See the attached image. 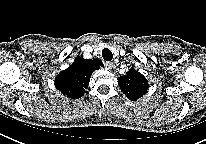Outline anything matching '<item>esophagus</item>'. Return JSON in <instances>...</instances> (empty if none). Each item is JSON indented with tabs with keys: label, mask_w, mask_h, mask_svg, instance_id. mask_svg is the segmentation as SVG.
Listing matches in <instances>:
<instances>
[{
	"label": "esophagus",
	"mask_w": 206,
	"mask_h": 144,
	"mask_svg": "<svg viewBox=\"0 0 206 144\" xmlns=\"http://www.w3.org/2000/svg\"><path fill=\"white\" fill-rule=\"evenodd\" d=\"M104 66H105L106 69L111 70L112 67H113V63L107 61V62L104 63Z\"/></svg>",
	"instance_id": "34e87169"
}]
</instances>
